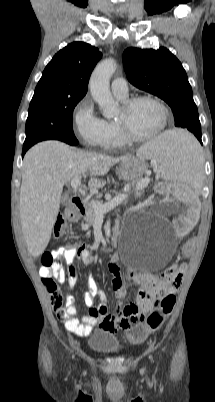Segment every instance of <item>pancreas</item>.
Masks as SVG:
<instances>
[{
	"label": "pancreas",
	"instance_id": "pancreas-1",
	"mask_svg": "<svg viewBox=\"0 0 215 402\" xmlns=\"http://www.w3.org/2000/svg\"><path fill=\"white\" fill-rule=\"evenodd\" d=\"M137 185H138V181L128 183L127 184L128 188H129L128 192H131V189H133V190H135V195L139 196L141 194V190L137 188ZM126 202L127 201H125V203ZM99 203H102V202H99ZM95 218H96V214H95L94 208L90 204L87 206L86 216L84 217V220L86 221V226H92L94 224Z\"/></svg>",
	"mask_w": 215,
	"mask_h": 402
}]
</instances>
